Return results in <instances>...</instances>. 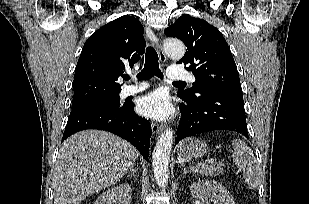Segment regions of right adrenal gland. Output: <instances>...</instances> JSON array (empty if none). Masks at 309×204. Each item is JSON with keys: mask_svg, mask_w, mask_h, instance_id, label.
Segmentation results:
<instances>
[{"mask_svg": "<svg viewBox=\"0 0 309 204\" xmlns=\"http://www.w3.org/2000/svg\"><path fill=\"white\" fill-rule=\"evenodd\" d=\"M128 177H134L137 180L138 179L137 178V169L132 168L131 173L128 175Z\"/></svg>", "mask_w": 309, "mask_h": 204, "instance_id": "2a0ac1e0", "label": "right adrenal gland"}]
</instances>
